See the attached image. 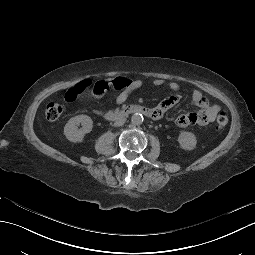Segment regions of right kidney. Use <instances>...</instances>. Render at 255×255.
<instances>
[{
	"label": "right kidney",
	"instance_id": "1",
	"mask_svg": "<svg viewBox=\"0 0 255 255\" xmlns=\"http://www.w3.org/2000/svg\"><path fill=\"white\" fill-rule=\"evenodd\" d=\"M82 123L83 129L78 130L75 125ZM93 128V120L87 115H76L70 118L64 126V135L69 142L81 143Z\"/></svg>",
	"mask_w": 255,
	"mask_h": 255
}]
</instances>
